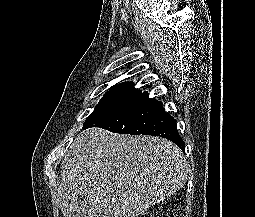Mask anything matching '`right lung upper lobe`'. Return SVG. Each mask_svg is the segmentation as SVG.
<instances>
[{
  "instance_id": "obj_1",
  "label": "right lung upper lobe",
  "mask_w": 255,
  "mask_h": 217,
  "mask_svg": "<svg viewBox=\"0 0 255 217\" xmlns=\"http://www.w3.org/2000/svg\"><path fill=\"white\" fill-rule=\"evenodd\" d=\"M114 87H133V83L132 82H123V83L115 85Z\"/></svg>"
}]
</instances>
